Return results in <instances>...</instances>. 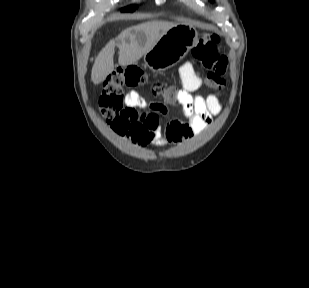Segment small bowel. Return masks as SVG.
<instances>
[{"instance_id": "c3829d8e", "label": "small bowel", "mask_w": 309, "mask_h": 288, "mask_svg": "<svg viewBox=\"0 0 309 288\" xmlns=\"http://www.w3.org/2000/svg\"><path fill=\"white\" fill-rule=\"evenodd\" d=\"M183 89L177 94V101L182 108L184 121L171 120L165 128L160 126V115L167 113L163 103L148 104L136 91H130L125 97V104L132 110L127 119H118L112 123L113 131L141 148L178 144L199 136L207 129L213 117L220 113L221 105L215 94L207 96L192 95L201 86V80L193 74L190 62L180 67ZM142 110L145 114H139Z\"/></svg>"}]
</instances>
